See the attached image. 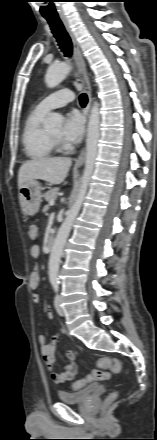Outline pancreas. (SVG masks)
<instances>
[{"label": "pancreas", "instance_id": "obj_1", "mask_svg": "<svg viewBox=\"0 0 157 440\" xmlns=\"http://www.w3.org/2000/svg\"><path fill=\"white\" fill-rule=\"evenodd\" d=\"M59 188H53L49 191H47L43 196L47 202H50L51 200H55L58 196Z\"/></svg>", "mask_w": 157, "mask_h": 440}]
</instances>
